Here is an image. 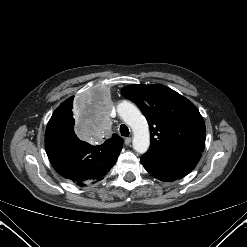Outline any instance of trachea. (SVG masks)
<instances>
[{
  "label": "trachea",
  "mask_w": 247,
  "mask_h": 247,
  "mask_svg": "<svg viewBox=\"0 0 247 247\" xmlns=\"http://www.w3.org/2000/svg\"><path fill=\"white\" fill-rule=\"evenodd\" d=\"M120 133H121L122 136H125V137L129 136L130 131H129L128 127L125 124H122L120 126Z\"/></svg>",
  "instance_id": "trachea-1"
}]
</instances>
